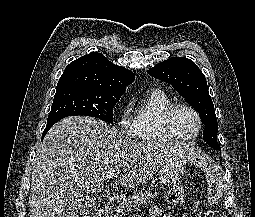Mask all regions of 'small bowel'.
<instances>
[{"label":"small bowel","mask_w":255,"mask_h":217,"mask_svg":"<svg viewBox=\"0 0 255 217\" xmlns=\"http://www.w3.org/2000/svg\"><path fill=\"white\" fill-rule=\"evenodd\" d=\"M149 217H175V216L172 214L162 215L159 206L154 204V205H151L149 208Z\"/></svg>","instance_id":"1"}]
</instances>
